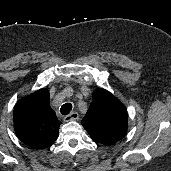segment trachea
Segmentation results:
<instances>
[{
  "mask_svg": "<svg viewBox=\"0 0 171 171\" xmlns=\"http://www.w3.org/2000/svg\"><path fill=\"white\" fill-rule=\"evenodd\" d=\"M71 110H72V104L71 103L63 104L60 108V112L62 115H68Z\"/></svg>",
  "mask_w": 171,
  "mask_h": 171,
  "instance_id": "obj_1",
  "label": "trachea"
}]
</instances>
